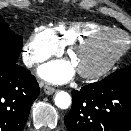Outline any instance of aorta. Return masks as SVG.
<instances>
[{
    "instance_id": "762f6f07",
    "label": "aorta",
    "mask_w": 131,
    "mask_h": 131,
    "mask_svg": "<svg viewBox=\"0 0 131 131\" xmlns=\"http://www.w3.org/2000/svg\"><path fill=\"white\" fill-rule=\"evenodd\" d=\"M54 102L58 108L67 109L71 105V96L65 91H59L54 98Z\"/></svg>"
}]
</instances>
